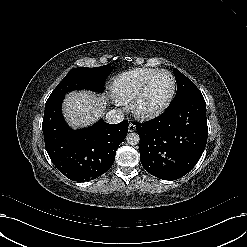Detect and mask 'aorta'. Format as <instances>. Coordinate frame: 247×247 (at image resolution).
I'll list each match as a JSON object with an SVG mask.
<instances>
[{
	"label": "aorta",
	"mask_w": 247,
	"mask_h": 247,
	"mask_svg": "<svg viewBox=\"0 0 247 247\" xmlns=\"http://www.w3.org/2000/svg\"><path fill=\"white\" fill-rule=\"evenodd\" d=\"M126 140L129 145H137L140 141V137L137 133L132 132L127 134Z\"/></svg>",
	"instance_id": "obj_1"
}]
</instances>
